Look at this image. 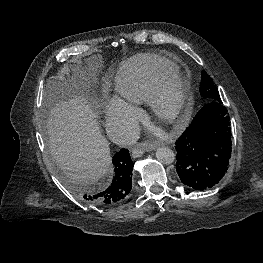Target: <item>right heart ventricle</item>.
I'll return each instance as SVG.
<instances>
[{"label":"right heart ventricle","mask_w":263,"mask_h":263,"mask_svg":"<svg viewBox=\"0 0 263 263\" xmlns=\"http://www.w3.org/2000/svg\"><path fill=\"white\" fill-rule=\"evenodd\" d=\"M172 62L153 55H138L122 63L114 77V88L120 101L127 105L146 102L155 79L177 72Z\"/></svg>","instance_id":"1"}]
</instances>
